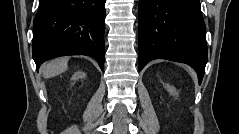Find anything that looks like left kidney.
<instances>
[{"instance_id":"1","label":"left kidney","mask_w":239,"mask_h":134,"mask_svg":"<svg viewBox=\"0 0 239 134\" xmlns=\"http://www.w3.org/2000/svg\"><path fill=\"white\" fill-rule=\"evenodd\" d=\"M167 90H168L170 95H177L178 94L177 90L173 86H168Z\"/></svg>"}]
</instances>
